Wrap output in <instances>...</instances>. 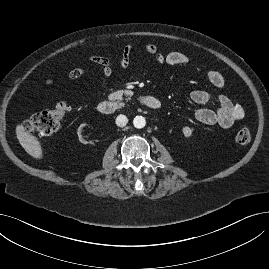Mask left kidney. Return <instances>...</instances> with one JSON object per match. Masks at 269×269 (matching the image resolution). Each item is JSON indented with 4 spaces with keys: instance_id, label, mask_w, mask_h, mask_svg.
<instances>
[{
    "instance_id": "5707ae66",
    "label": "left kidney",
    "mask_w": 269,
    "mask_h": 269,
    "mask_svg": "<svg viewBox=\"0 0 269 269\" xmlns=\"http://www.w3.org/2000/svg\"><path fill=\"white\" fill-rule=\"evenodd\" d=\"M182 132L186 138H189L192 134V130L190 127H183Z\"/></svg>"
}]
</instances>
